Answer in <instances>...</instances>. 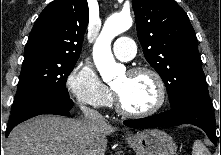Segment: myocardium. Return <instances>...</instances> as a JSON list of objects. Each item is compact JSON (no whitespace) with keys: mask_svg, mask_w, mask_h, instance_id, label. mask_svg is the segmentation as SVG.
Instances as JSON below:
<instances>
[{"mask_svg":"<svg viewBox=\"0 0 221 155\" xmlns=\"http://www.w3.org/2000/svg\"><path fill=\"white\" fill-rule=\"evenodd\" d=\"M129 75H138V74H148L153 77L158 88V100L157 103L149 110L144 112H134L128 110L118 92L113 88L114 100L117 110L124 116L133 117V118H145L155 115L159 112L165 104L166 101V86L161 75L152 68L140 66L134 67L127 71Z\"/></svg>","mask_w":221,"mask_h":155,"instance_id":"myocardium-1","label":"myocardium"}]
</instances>
